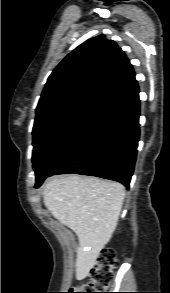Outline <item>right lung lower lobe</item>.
Returning <instances> with one entry per match:
<instances>
[{
    "label": "right lung lower lobe",
    "instance_id": "98d812e1",
    "mask_svg": "<svg viewBox=\"0 0 170 293\" xmlns=\"http://www.w3.org/2000/svg\"><path fill=\"white\" fill-rule=\"evenodd\" d=\"M139 116L137 90L108 106L82 139L59 160L49 176L63 173L91 175L129 187L140 135Z\"/></svg>",
    "mask_w": 170,
    "mask_h": 293
}]
</instances>
